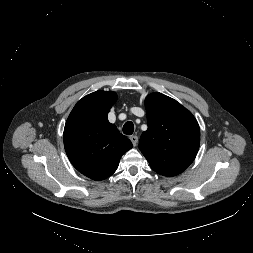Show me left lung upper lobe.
<instances>
[{
    "instance_id": "left-lung-upper-lobe-1",
    "label": "left lung upper lobe",
    "mask_w": 253,
    "mask_h": 253,
    "mask_svg": "<svg viewBox=\"0 0 253 253\" xmlns=\"http://www.w3.org/2000/svg\"><path fill=\"white\" fill-rule=\"evenodd\" d=\"M145 108L148 129L140 137V151L158 174L182 173L199 149L197 120L176 100L158 92L147 96Z\"/></svg>"
}]
</instances>
